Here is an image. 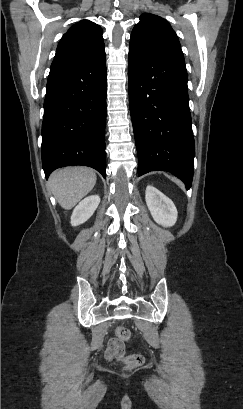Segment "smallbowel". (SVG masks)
Instances as JSON below:
<instances>
[{
	"instance_id": "c3829d8e",
	"label": "small bowel",
	"mask_w": 243,
	"mask_h": 409,
	"mask_svg": "<svg viewBox=\"0 0 243 409\" xmlns=\"http://www.w3.org/2000/svg\"><path fill=\"white\" fill-rule=\"evenodd\" d=\"M124 348L116 337H110L107 340L104 350V356L107 360L120 361L124 355Z\"/></svg>"
}]
</instances>
